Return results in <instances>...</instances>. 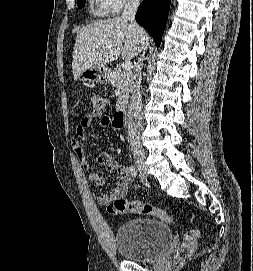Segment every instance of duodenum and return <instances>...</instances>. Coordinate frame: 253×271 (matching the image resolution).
Masks as SVG:
<instances>
[{
  "mask_svg": "<svg viewBox=\"0 0 253 271\" xmlns=\"http://www.w3.org/2000/svg\"><path fill=\"white\" fill-rule=\"evenodd\" d=\"M113 123L117 128H125L128 123L127 111L119 108L113 115Z\"/></svg>",
  "mask_w": 253,
  "mask_h": 271,
  "instance_id": "410a0bca",
  "label": "duodenum"
}]
</instances>
